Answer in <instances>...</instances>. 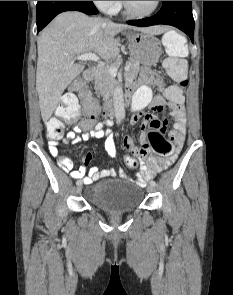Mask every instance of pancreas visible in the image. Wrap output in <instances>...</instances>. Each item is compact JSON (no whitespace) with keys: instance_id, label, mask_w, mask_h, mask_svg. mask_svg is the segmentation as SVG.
Instances as JSON below:
<instances>
[{"instance_id":"obj_1","label":"pancreas","mask_w":233,"mask_h":295,"mask_svg":"<svg viewBox=\"0 0 233 295\" xmlns=\"http://www.w3.org/2000/svg\"><path fill=\"white\" fill-rule=\"evenodd\" d=\"M126 64L130 67L129 70L126 71V75L132 78L136 77L140 69V63L134 58H129ZM111 65L119 67L120 61L114 60ZM111 65L99 67L95 74L94 89L104 98H109L117 85V80L108 71V68Z\"/></svg>"}]
</instances>
